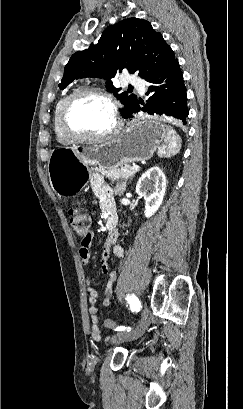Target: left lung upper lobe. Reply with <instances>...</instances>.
Instances as JSON below:
<instances>
[{"instance_id":"5c2ea615","label":"left lung upper lobe","mask_w":243,"mask_h":409,"mask_svg":"<svg viewBox=\"0 0 243 409\" xmlns=\"http://www.w3.org/2000/svg\"><path fill=\"white\" fill-rule=\"evenodd\" d=\"M174 60L172 49L148 21L128 18L106 28L96 45L74 53L59 87L64 89L78 78L105 79L109 91L124 105V116L138 99L126 92L118 94L120 89H113L110 79L126 68L132 74L138 71L147 80Z\"/></svg>"}]
</instances>
